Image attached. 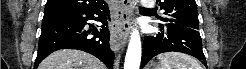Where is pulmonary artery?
Wrapping results in <instances>:
<instances>
[{"label":"pulmonary artery","mask_w":246,"mask_h":69,"mask_svg":"<svg viewBox=\"0 0 246 69\" xmlns=\"http://www.w3.org/2000/svg\"><path fill=\"white\" fill-rule=\"evenodd\" d=\"M143 8L152 9L154 7V2H142Z\"/></svg>","instance_id":"1"}]
</instances>
